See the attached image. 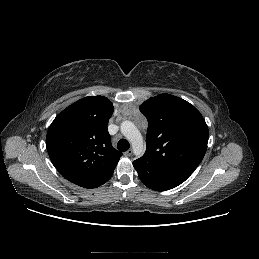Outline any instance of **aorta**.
Returning a JSON list of instances; mask_svg holds the SVG:
<instances>
[{
	"mask_svg": "<svg viewBox=\"0 0 259 259\" xmlns=\"http://www.w3.org/2000/svg\"><path fill=\"white\" fill-rule=\"evenodd\" d=\"M121 133L131 143L136 156H141L144 150V141L140 131L131 121H123L120 126Z\"/></svg>",
	"mask_w": 259,
	"mask_h": 259,
	"instance_id": "aorta-1",
	"label": "aorta"
}]
</instances>
